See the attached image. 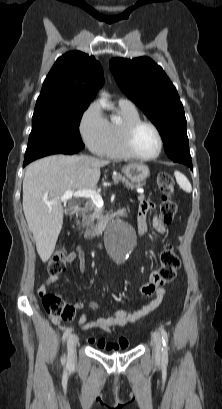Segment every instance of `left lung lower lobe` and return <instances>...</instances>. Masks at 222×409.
Returning <instances> with one entry per match:
<instances>
[{
	"mask_svg": "<svg viewBox=\"0 0 222 409\" xmlns=\"http://www.w3.org/2000/svg\"><path fill=\"white\" fill-rule=\"evenodd\" d=\"M173 161L177 162V163H182V164L188 166L190 169H193L191 156L173 159Z\"/></svg>",
	"mask_w": 222,
	"mask_h": 409,
	"instance_id": "left-lung-lower-lobe-1",
	"label": "left lung lower lobe"
}]
</instances>
